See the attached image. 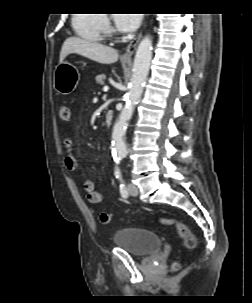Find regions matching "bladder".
Listing matches in <instances>:
<instances>
[{
  "instance_id": "31cf9c89",
  "label": "bladder",
  "mask_w": 252,
  "mask_h": 303,
  "mask_svg": "<svg viewBox=\"0 0 252 303\" xmlns=\"http://www.w3.org/2000/svg\"><path fill=\"white\" fill-rule=\"evenodd\" d=\"M113 243L138 257H149L162 247V240L156 234L141 228H125L113 236Z\"/></svg>"
}]
</instances>
